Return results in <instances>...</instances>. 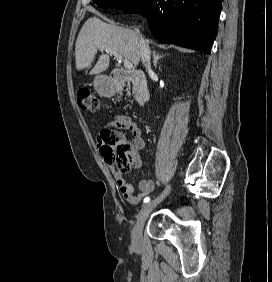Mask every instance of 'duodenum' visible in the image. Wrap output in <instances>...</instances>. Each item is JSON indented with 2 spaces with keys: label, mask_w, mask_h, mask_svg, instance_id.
<instances>
[{
  "label": "duodenum",
  "mask_w": 272,
  "mask_h": 282,
  "mask_svg": "<svg viewBox=\"0 0 272 282\" xmlns=\"http://www.w3.org/2000/svg\"><path fill=\"white\" fill-rule=\"evenodd\" d=\"M129 81H132L135 85V101L137 106L144 105L150 98V92L145 74L140 70L114 71L110 78L104 82L102 89L112 96L117 88Z\"/></svg>",
  "instance_id": "410a0bca"
}]
</instances>
